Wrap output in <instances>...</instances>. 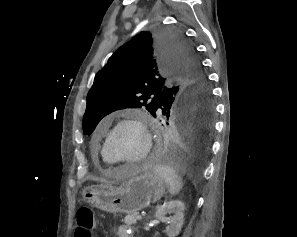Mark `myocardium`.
<instances>
[{
    "label": "myocardium",
    "instance_id": "myocardium-1",
    "mask_svg": "<svg viewBox=\"0 0 297 237\" xmlns=\"http://www.w3.org/2000/svg\"><path fill=\"white\" fill-rule=\"evenodd\" d=\"M124 125H133L137 127L144 139V147L142 150V153L132 159H120L116 156H114L110 151H109V142L113 136V134L122 126ZM153 135L149 126V120L146 116L144 115H133L129 116L126 118H123L119 120L107 133L105 137V141L103 144V149L109 159L114 162L115 164H121V165H128V164H135V163H140L145 161L153 152Z\"/></svg>",
    "mask_w": 297,
    "mask_h": 237
}]
</instances>
